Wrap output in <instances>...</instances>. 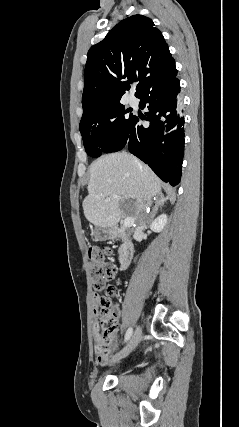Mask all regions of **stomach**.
<instances>
[{
    "instance_id": "0dacf381",
    "label": "stomach",
    "mask_w": 239,
    "mask_h": 427,
    "mask_svg": "<svg viewBox=\"0 0 239 427\" xmlns=\"http://www.w3.org/2000/svg\"><path fill=\"white\" fill-rule=\"evenodd\" d=\"M93 235L96 241H106L114 237V230L112 228L96 227L93 230Z\"/></svg>"
}]
</instances>
